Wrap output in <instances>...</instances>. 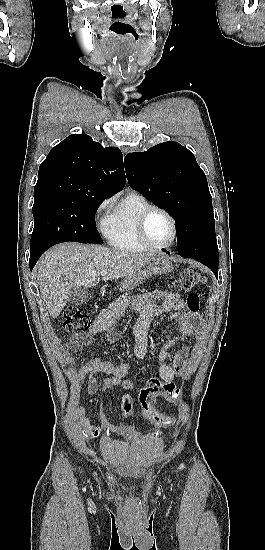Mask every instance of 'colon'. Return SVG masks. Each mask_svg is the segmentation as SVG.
<instances>
[{
    "label": "colon",
    "mask_w": 265,
    "mask_h": 550,
    "mask_svg": "<svg viewBox=\"0 0 265 550\" xmlns=\"http://www.w3.org/2000/svg\"><path fill=\"white\" fill-rule=\"evenodd\" d=\"M202 281L203 278L197 270L186 268L182 270L179 278L173 282V287L177 290L189 291ZM186 302L190 312L197 315L200 307L198 295L190 293ZM63 318V329L68 333L86 331L91 326L89 316L77 307H68L63 313ZM161 396L172 403H177L179 393L176 387L167 385L159 378L150 379L139 391L140 410L146 418L153 421L161 420L164 426L171 427L173 422L166 416H160L155 409V400ZM124 431L129 437H134L137 433L132 425L124 426Z\"/></svg>",
    "instance_id": "5ec220e1"
}]
</instances>
